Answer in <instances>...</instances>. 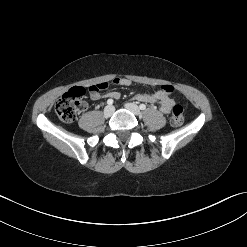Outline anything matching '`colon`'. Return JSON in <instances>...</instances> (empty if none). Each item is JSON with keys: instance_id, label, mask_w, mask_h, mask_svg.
<instances>
[{"instance_id": "5ec220e1", "label": "colon", "mask_w": 247, "mask_h": 247, "mask_svg": "<svg viewBox=\"0 0 247 247\" xmlns=\"http://www.w3.org/2000/svg\"><path fill=\"white\" fill-rule=\"evenodd\" d=\"M107 87L106 83L93 85L90 89L101 91ZM85 90L82 87H73L63 94L55 104V112L63 122H72L77 114L84 108L83 97ZM171 125L174 127L181 126L184 122V109L182 105L175 104L172 108Z\"/></svg>"}]
</instances>
